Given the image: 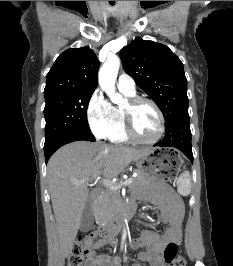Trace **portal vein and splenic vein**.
<instances>
[{"mask_svg": "<svg viewBox=\"0 0 233 266\" xmlns=\"http://www.w3.org/2000/svg\"><path fill=\"white\" fill-rule=\"evenodd\" d=\"M95 178H96L97 180L100 179L99 176H97V177H95ZM85 181H86V179H83V180L75 181V183H76V184H80V183L85 182ZM101 183H102L104 186L108 187L109 189L117 190V189H120L122 186H128V185H130V184L132 183V178H128V179H126L122 184H116V183H113V182H111V181H109V180H106V179L101 180Z\"/></svg>", "mask_w": 233, "mask_h": 266, "instance_id": "1", "label": "portal vein and splenic vein"}]
</instances>
